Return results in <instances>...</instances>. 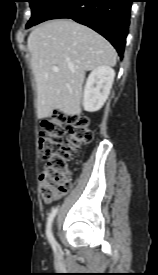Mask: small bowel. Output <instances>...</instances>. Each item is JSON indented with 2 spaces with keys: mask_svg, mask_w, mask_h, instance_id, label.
<instances>
[{
  "mask_svg": "<svg viewBox=\"0 0 158 275\" xmlns=\"http://www.w3.org/2000/svg\"><path fill=\"white\" fill-rule=\"evenodd\" d=\"M49 201H50V200H48V199L46 200V202H49Z\"/></svg>",
  "mask_w": 158,
  "mask_h": 275,
  "instance_id": "obj_1",
  "label": "small bowel"
}]
</instances>
